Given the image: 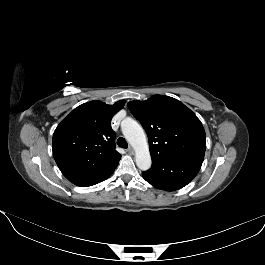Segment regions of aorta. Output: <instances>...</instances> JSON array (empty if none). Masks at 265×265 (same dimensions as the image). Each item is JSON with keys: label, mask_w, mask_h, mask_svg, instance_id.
I'll list each match as a JSON object with an SVG mask.
<instances>
[{"label": "aorta", "mask_w": 265, "mask_h": 265, "mask_svg": "<svg viewBox=\"0 0 265 265\" xmlns=\"http://www.w3.org/2000/svg\"><path fill=\"white\" fill-rule=\"evenodd\" d=\"M122 133L135 150L136 165L142 171L150 169L152 160L143 128L133 119L122 122Z\"/></svg>", "instance_id": "762f6f07"}]
</instances>
